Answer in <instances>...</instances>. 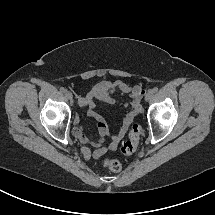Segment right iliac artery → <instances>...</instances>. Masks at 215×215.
Returning a JSON list of instances; mask_svg holds the SVG:
<instances>
[{"label": "right iliac artery", "mask_w": 215, "mask_h": 215, "mask_svg": "<svg viewBox=\"0 0 215 215\" xmlns=\"http://www.w3.org/2000/svg\"><path fill=\"white\" fill-rule=\"evenodd\" d=\"M60 91L63 92V93H65V92H66V89H65L64 87H61V88H60Z\"/></svg>", "instance_id": "1"}]
</instances>
